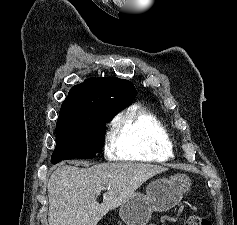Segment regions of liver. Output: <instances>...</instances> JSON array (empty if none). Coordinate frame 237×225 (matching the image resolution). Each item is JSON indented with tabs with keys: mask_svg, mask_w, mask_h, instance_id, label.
Segmentation results:
<instances>
[{
	"mask_svg": "<svg viewBox=\"0 0 237 225\" xmlns=\"http://www.w3.org/2000/svg\"><path fill=\"white\" fill-rule=\"evenodd\" d=\"M165 171L167 168L143 163H103L88 168L61 163L47 185L49 225H97L144 182ZM101 186L106 192L99 204L97 189Z\"/></svg>",
	"mask_w": 237,
	"mask_h": 225,
	"instance_id": "1",
	"label": "liver"
}]
</instances>
